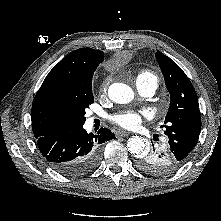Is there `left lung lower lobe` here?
Wrapping results in <instances>:
<instances>
[{"label":"left lung lower lobe","mask_w":221,"mask_h":221,"mask_svg":"<svg viewBox=\"0 0 221 221\" xmlns=\"http://www.w3.org/2000/svg\"><path fill=\"white\" fill-rule=\"evenodd\" d=\"M151 151L138 158L137 167L149 174L167 175L177 171L185 162L175 156L167 143L152 144Z\"/></svg>","instance_id":"1"}]
</instances>
